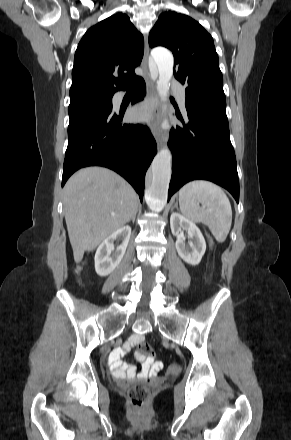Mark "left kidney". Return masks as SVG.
<instances>
[{"instance_id":"obj_1","label":"left kidney","mask_w":291,"mask_h":440,"mask_svg":"<svg viewBox=\"0 0 291 440\" xmlns=\"http://www.w3.org/2000/svg\"><path fill=\"white\" fill-rule=\"evenodd\" d=\"M170 227L172 234L177 236L175 245L179 256L190 265L199 264L206 251V242L200 229L194 222L177 212L171 214ZM184 230L191 239L189 246L185 244Z\"/></svg>"}]
</instances>
